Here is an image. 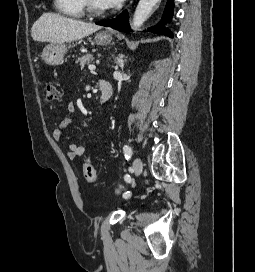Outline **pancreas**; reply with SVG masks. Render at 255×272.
<instances>
[{"instance_id":"1","label":"pancreas","mask_w":255,"mask_h":272,"mask_svg":"<svg viewBox=\"0 0 255 272\" xmlns=\"http://www.w3.org/2000/svg\"><path fill=\"white\" fill-rule=\"evenodd\" d=\"M94 56L91 55V54H86L82 57H79L77 60H76V63L80 65L81 68L84 67L85 64H89L91 63L92 61H94Z\"/></svg>"}]
</instances>
